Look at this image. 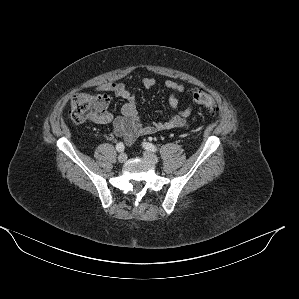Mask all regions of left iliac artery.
<instances>
[{
  "label": "left iliac artery",
  "mask_w": 299,
  "mask_h": 299,
  "mask_svg": "<svg viewBox=\"0 0 299 299\" xmlns=\"http://www.w3.org/2000/svg\"><path fill=\"white\" fill-rule=\"evenodd\" d=\"M143 147L147 150H150L152 152H156L157 151V148L155 145H153L152 143H149V142H145L143 143Z\"/></svg>",
  "instance_id": "obj_1"
}]
</instances>
